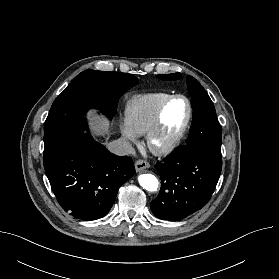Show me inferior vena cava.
Returning a JSON list of instances; mask_svg holds the SVG:
<instances>
[{
    "label": "inferior vena cava",
    "instance_id": "inferior-vena-cava-1",
    "mask_svg": "<svg viewBox=\"0 0 279 279\" xmlns=\"http://www.w3.org/2000/svg\"><path fill=\"white\" fill-rule=\"evenodd\" d=\"M107 148L111 153H114L116 155L135 154V150L132 147L131 143L123 138H119L108 143Z\"/></svg>",
    "mask_w": 279,
    "mask_h": 279
}]
</instances>
